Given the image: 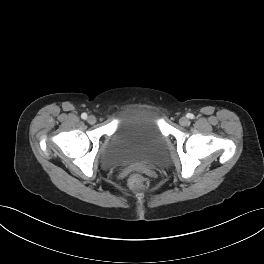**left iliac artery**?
I'll list each match as a JSON object with an SVG mask.
<instances>
[{
	"label": "left iliac artery",
	"instance_id": "obj_1",
	"mask_svg": "<svg viewBox=\"0 0 264 264\" xmlns=\"http://www.w3.org/2000/svg\"><path fill=\"white\" fill-rule=\"evenodd\" d=\"M188 117H189L190 119H193V118H194V115L190 113V114L188 115Z\"/></svg>",
	"mask_w": 264,
	"mask_h": 264
}]
</instances>
